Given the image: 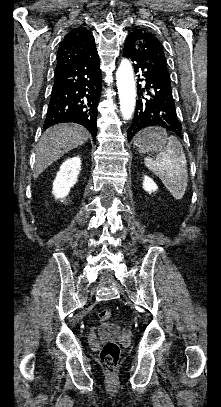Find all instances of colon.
I'll return each mask as SVG.
<instances>
[{"label":"colon","instance_id":"5ec220e1","mask_svg":"<svg viewBox=\"0 0 221 407\" xmlns=\"http://www.w3.org/2000/svg\"><path fill=\"white\" fill-rule=\"evenodd\" d=\"M97 318L101 322L108 321L111 318V312L108 309H101L97 313ZM100 359L106 372L113 375L118 367L120 359V348L116 342L109 341L105 343L100 352Z\"/></svg>","mask_w":221,"mask_h":407}]
</instances>
